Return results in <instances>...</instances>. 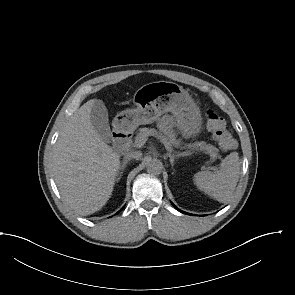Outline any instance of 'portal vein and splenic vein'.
I'll use <instances>...</instances> for the list:
<instances>
[{
	"instance_id": "1",
	"label": "portal vein and splenic vein",
	"mask_w": 295,
	"mask_h": 295,
	"mask_svg": "<svg viewBox=\"0 0 295 295\" xmlns=\"http://www.w3.org/2000/svg\"><path fill=\"white\" fill-rule=\"evenodd\" d=\"M152 136H155L157 139H159L160 142L166 148V150H168L169 152H172L173 151V148L170 146V144L163 137H161L160 135H158L156 133L152 134ZM146 141H147V138L142 137V138L139 139V141H137L136 146L137 147H141V146H143L145 144ZM181 155L186 156V155H189V153L184 152Z\"/></svg>"
}]
</instances>
